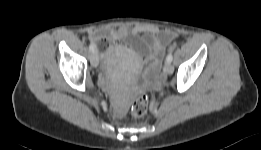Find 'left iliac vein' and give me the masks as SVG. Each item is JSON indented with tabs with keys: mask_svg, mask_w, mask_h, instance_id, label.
<instances>
[{
	"mask_svg": "<svg viewBox=\"0 0 261 150\" xmlns=\"http://www.w3.org/2000/svg\"><path fill=\"white\" fill-rule=\"evenodd\" d=\"M173 71H174V68H173V66L169 63V62H165V64H164V72L166 73V74H172L173 73Z\"/></svg>",
	"mask_w": 261,
	"mask_h": 150,
	"instance_id": "4c4485c4",
	"label": "left iliac vein"
}]
</instances>
